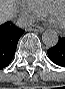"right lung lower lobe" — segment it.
<instances>
[{
	"instance_id": "1",
	"label": "right lung lower lobe",
	"mask_w": 65,
	"mask_h": 89,
	"mask_svg": "<svg viewBox=\"0 0 65 89\" xmlns=\"http://www.w3.org/2000/svg\"><path fill=\"white\" fill-rule=\"evenodd\" d=\"M25 30H20L10 22L0 24V69L8 66L15 54L19 38Z\"/></svg>"
}]
</instances>
